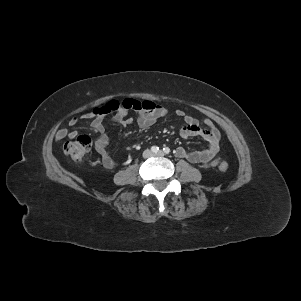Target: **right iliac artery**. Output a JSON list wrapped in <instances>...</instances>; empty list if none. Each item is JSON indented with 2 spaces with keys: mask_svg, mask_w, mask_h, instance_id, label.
Listing matches in <instances>:
<instances>
[{
  "mask_svg": "<svg viewBox=\"0 0 301 301\" xmlns=\"http://www.w3.org/2000/svg\"><path fill=\"white\" fill-rule=\"evenodd\" d=\"M159 150V148L157 146H152L151 147V151L156 153Z\"/></svg>",
  "mask_w": 301,
  "mask_h": 301,
  "instance_id": "1",
  "label": "right iliac artery"
}]
</instances>
